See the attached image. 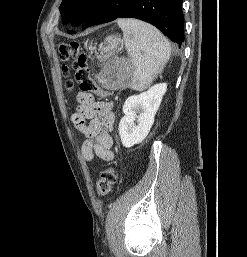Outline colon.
<instances>
[{
	"label": "colon",
	"mask_w": 247,
	"mask_h": 257,
	"mask_svg": "<svg viewBox=\"0 0 247 257\" xmlns=\"http://www.w3.org/2000/svg\"><path fill=\"white\" fill-rule=\"evenodd\" d=\"M58 56L62 63L72 61V67L75 71V77L79 83L81 91L86 93H94L101 97L106 96V92L102 90L92 78L86 55L82 51L79 43L70 42L60 44L58 48ZM62 71L65 74H68L69 68L66 65H63ZM67 88H73L72 81L67 82ZM116 180L117 173L114 167L104 169L97 181V193L101 196H106L109 194L116 183Z\"/></svg>",
	"instance_id": "1"
}]
</instances>
